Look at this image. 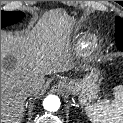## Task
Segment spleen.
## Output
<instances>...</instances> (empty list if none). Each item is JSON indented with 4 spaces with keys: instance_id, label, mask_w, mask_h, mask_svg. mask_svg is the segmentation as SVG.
I'll list each match as a JSON object with an SVG mask.
<instances>
[{
    "instance_id": "1",
    "label": "spleen",
    "mask_w": 123,
    "mask_h": 123,
    "mask_svg": "<svg viewBox=\"0 0 123 123\" xmlns=\"http://www.w3.org/2000/svg\"><path fill=\"white\" fill-rule=\"evenodd\" d=\"M92 123H123V86L114 88V99L99 100L85 107Z\"/></svg>"
}]
</instances>
